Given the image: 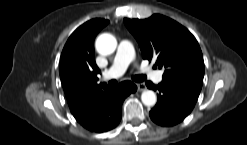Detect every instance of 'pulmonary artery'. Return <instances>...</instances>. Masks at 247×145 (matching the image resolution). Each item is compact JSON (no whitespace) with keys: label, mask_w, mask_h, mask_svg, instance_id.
<instances>
[{"label":"pulmonary artery","mask_w":247,"mask_h":145,"mask_svg":"<svg viewBox=\"0 0 247 145\" xmlns=\"http://www.w3.org/2000/svg\"><path fill=\"white\" fill-rule=\"evenodd\" d=\"M135 51L133 44L127 40L121 41L118 51L115 55L114 61L111 67L106 71L103 76L104 80L118 78L124 74L128 65L134 60ZM150 72L154 81L160 82L162 80V72L161 71H151Z\"/></svg>","instance_id":"pulmonary-artery-1"}]
</instances>
